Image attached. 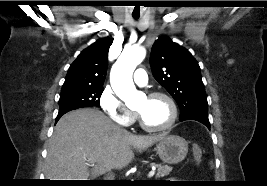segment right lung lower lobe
Masks as SVG:
<instances>
[{
	"label": "right lung lower lobe",
	"mask_w": 267,
	"mask_h": 186,
	"mask_svg": "<svg viewBox=\"0 0 267 186\" xmlns=\"http://www.w3.org/2000/svg\"><path fill=\"white\" fill-rule=\"evenodd\" d=\"M67 112H62V113H58L57 118H56V122Z\"/></svg>",
	"instance_id": "1"
}]
</instances>
